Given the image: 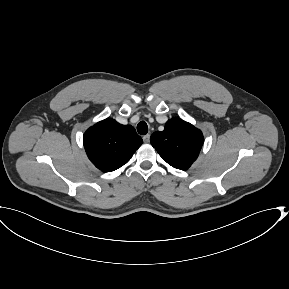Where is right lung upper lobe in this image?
<instances>
[{"label":"right lung upper lobe","instance_id":"right-lung-upper-lobe-1","mask_svg":"<svg viewBox=\"0 0 289 289\" xmlns=\"http://www.w3.org/2000/svg\"><path fill=\"white\" fill-rule=\"evenodd\" d=\"M142 142L132 126L121 125L109 118L89 128L83 136L88 158L103 172L114 171L126 164Z\"/></svg>","mask_w":289,"mask_h":289}]
</instances>
